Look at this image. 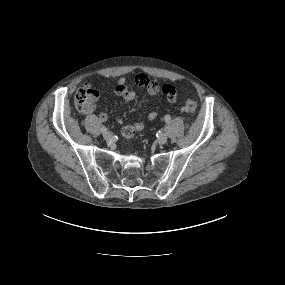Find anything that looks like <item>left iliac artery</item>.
<instances>
[{"label":"left iliac artery","instance_id":"44dca946","mask_svg":"<svg viewBox=\"0 0 285 285\" xmlns=\"http://www.w3.org/2000/svg\"><path fill=\"white\" fill-rule=\"evenodd\" d=\"M164 119H165L166 122H169L170 119H171V117H170V115H165ZM160 135H161V134H160ZM160 135H159V136H160Z\"/></svg>","mask_w":285,"mask_h":285}]
</instances>
